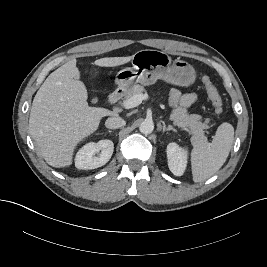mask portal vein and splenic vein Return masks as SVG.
<instances>
[{
  "label": "portal vein and splenic vein",
  "instance_id": "obj_1",
  "mask_svg": "<svg viewBox=\"0 0 267 267\" xmlns=\"http://www.w3.org/2000/svg\"><path fill=\"white\" fill-rule=\"evenodd\" d=\"M148 98L147 94H139L131 97L127 101L123 103V107L125 109H131L134 108L142 103L143 100H146Z\"/></svg>",
  "mask_w": 267,
  "mask_h": 267
}]
</instances>
